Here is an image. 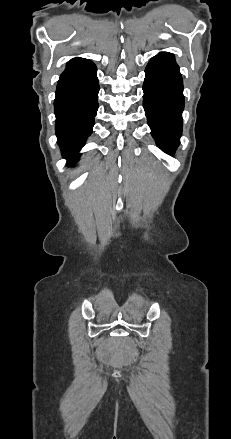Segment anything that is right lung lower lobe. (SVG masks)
Returning <instances> with one entry per match:
<instances>
[{"mask_svg":"<svg viewBox=\"0 0 231 439\" xmlns=\"http://www.w3.org/2000/svg\"><path fill=\"white\" fill-rule=\"evenodd\" d=\"M95 64L80 59L61 74L58 81L54 109L58 145L69 166L79 159V150L92 133L98 109L99 83Z\"/></svg>","mask_w":231,"mask_h":439,"instance_id":"obj_1","label":"right lung lower lobe"}]
</instances>
